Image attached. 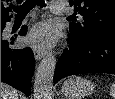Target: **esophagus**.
I'll use <instances>...</instances> for the list:
<instances>
[{
    "instance_id": "34e87169",
    "label": "esophagus",
    "mask_w": 115,
    "mask_h": 99,
    "mask_svg": "<svg viewBox=\"0 0 115 99\" xmlns=\"http://www.w3.org/2000/svg\"><path fill=\"white\" fill-rule=\"evenodd\" d=\"M46 52L43 49H38L34 51V57L36 60H40L45 56Z\"/></svg>"
}]
</instances>
